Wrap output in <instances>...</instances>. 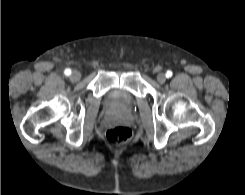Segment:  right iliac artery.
Segmentation results:
<instances>
[{
    "label": "right iliac artery",
    "mask_w": 245,
    "mask_h": 195,
    "mask_svg": "<svg viewBox=\"0 0 245 195\" xmlns=\"http://www.w3.org/2000/svg\"><path fill=\"white\" fill-rule=\"evenodd\" d=\"M64 73H65L66 76H69L71 74V70L70 69H66L64 71Z\"/></svg>",
    "instance_id": "obj_1"
}]
</instances>
